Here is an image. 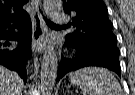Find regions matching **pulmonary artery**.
<instances>
[{
  "instance_id": "1",
  "label": "pulmonary artery",
  "mask_w": 135,
  "mask_h": 95,
  "mask_svg": "<svg viewBox=\"0 0 135 95\" xmlns=\"http://www.w3.org/2000/svg\"><path fill=\"white\" fill-rule=\"evenodd\" d=\"M52 17H53L54 22H56V23H63L66 18L65 14H63L60 11L53 12Z\"/></svg>"
}]
</instances>
